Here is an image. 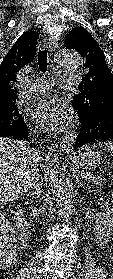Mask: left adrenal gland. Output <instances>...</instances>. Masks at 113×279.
I'll return each instance as SVG.
<instances>
[{"label":"left adrenal gland","instance_id":"a2214340","mask_svg":"<svg viewBox=\"0 0 113 279\" xmlns=\"http://www.w3.org/2000/svg\"><path fill=\"white\" fill-rule=\"evenodd\" d=\"M75 179H76V184H77L78 188L83 186L84 184H86V183H83V181L79 180V178L77 176H75Z\"/></svg>","mask_w":113,"mask_h":279}]
</instances>
